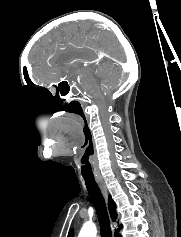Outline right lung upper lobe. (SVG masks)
I'll list each match as a JSON object with an SVG mask.
<instances>
[{"mask_svg":"<svg viewBox=\"0 0 181 237\" xmlns=\"http://www.w3.org/2000/svg\"><path fill=\"white\" fill-rule=\"evenodd\" d=\"M108 207H109V212H110V216L111 219L113 221L116 220L117 218V213H116V204L115 202L112 200L111 196L109 195V200H108ZM122 227V225L120 226V228ZM120 228L115 232V237H121L119 233ZM68 237H73V230H71L68 234Z\"/></svg>","mask_w":181,"mask_h":237,"instance_id":"right-lung-upper-lobe-1","label":"right lung upper lobe"}]
</instances>
